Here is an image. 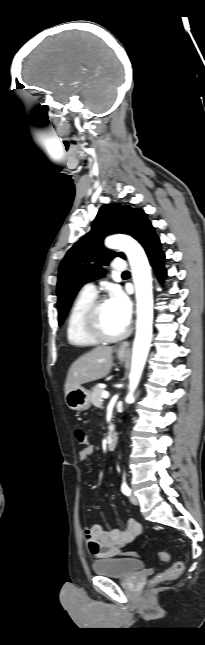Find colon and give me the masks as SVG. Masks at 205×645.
<instances>
[{
    "label": "colon",
    "mask_w": 205,
    "mask_h": 645,
    "mask_svg": "<svg viewBox=\"0 0 205 645\" xmlns=\"http://www.w3.org/2000/svg\"><path fill=\"white\" fill-rule=\"evenodd\" d=\"M75 437L80 446L88 447L89 445V436L87 432L83 429L75 430ZM158 557L161 561L167 562L169 560V555L166 552H159ZM184 564L180 561L174 563L167 570L161 573L158 576V580H174L177 579L183 572Z\"/></svg>",
    "instance_id": "5ec220e1"
}]
</instances>
